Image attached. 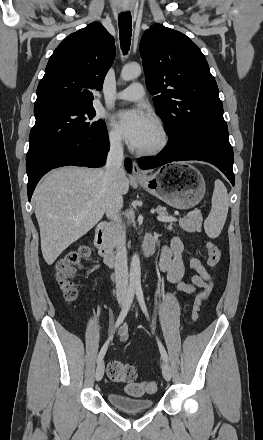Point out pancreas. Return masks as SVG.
<instances>
[{
    "mask_svg": "<svg viewBox=\"0 0 263 440\" xmlns=\"http://www.w3.org/2000/svg\"><path fill=\"white\" fill-rule=\"evenodd\" d=\"M156 211L159 215H163V216L168 215L166 210L161 206H158ZM178 222H179L178 226L180 228H182L183 230H185L187 232L194 233L196 231L197 232L201 231L203 217L200 212H193V213L188 214L184 218L179 219ZM167 228L169 230H171L172 224L169 225ZM112 242H114L113 236H112Z\"/></svg>",
    "mask_w": 263,
    "mask_h": 440,
    "instance_id": "pancreas-1",
    "label": "pancreas"
}]
</instances>
